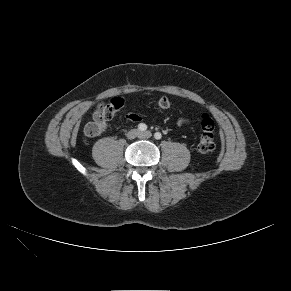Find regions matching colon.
<instances>
[{"label": "colon", "mask_w": 291, "mask_h": 291, "mask_svg": "<svg viewBox=\"0 0 291 291\" xmlns=\"http://www.w3.org/2000/svg\"><path fill=\"white\" fill-rule=\"evenodd\" d=\"M157 105L161 109L170 107V101L167 97L159 98ZM123 106V103L115 99L104 105L95 115L91 122L84 127V133L88 137H96L105 131L108 127L109 120ZM215 123L207 114L201 116V135L198 142V149L202 153H210L215 150Z\"/></svg>", "instance_id": "colon-1"}]
</instances>
